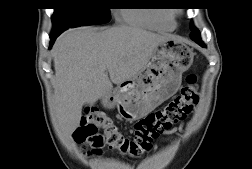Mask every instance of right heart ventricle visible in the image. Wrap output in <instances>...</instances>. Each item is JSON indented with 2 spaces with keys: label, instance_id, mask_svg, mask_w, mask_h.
Masks as SVG:
<instances>
[{
  "label": "right heart ventricle",
  "instance_id": "1",
  "mask_svg": "<svg viewBox=\"0 0 252 169\" xmlns=\"http://www.w3.org/2000/svg\"><path fill=\"white\" fill-rule=\"evenodd\" d=\"M120 15L126 22L142 28L170 31L176 26L173 16L166 12L124 9Z\"/></svg>",
  "mask_w": 252,
  "mask_h": 169
}]
</instances>
